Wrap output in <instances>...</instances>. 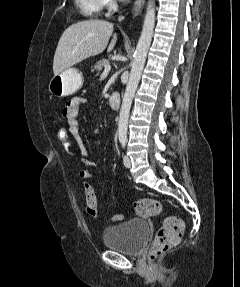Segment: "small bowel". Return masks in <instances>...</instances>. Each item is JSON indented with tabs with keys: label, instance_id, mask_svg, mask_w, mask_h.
<instances>
[{
	"label": "small bowel",
	"instance_id": "1",
	"mask_svg": "<svg viewBox=\"0 0 240 287\" xmlns=\"http://www.w3.org/2000/svg\"><path fill=\"white\" fill-rule=\"evenodd\" d=\"M86 102V100L82 97H73L71 98L62 109V117L67 121L70 126L72 135L76 141L78 154L77 158L80 164L83 166L84 174L89 179L100 178L99 174L92 171L90 168H94L97 164L90 158L89 151L87 147L84 145L79 131H78V123H79V111L81 106Z\"/></svg>",
	"mask_w": 240,
	"mask_h": 287
}]
</instances>
